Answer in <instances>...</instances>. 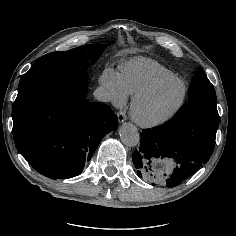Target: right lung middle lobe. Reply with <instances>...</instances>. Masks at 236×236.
Listing matches in <instances>:
<instances>
[{"mask_svg": "<svg viewBox=\"0 0 236 236\" xmlns=\"http://www.w3.org/2000/svg\"><path fill=\"white\" fill-rule=\"evenodd\" d=\"M106 48L103 44H90L69 51L52 52L39 58L19 83L18 94L30 86L71 76L89 67V60L96 61Z\"/></svg>", "mask_w": 236, "mask_h": 236, "instance_id": "1", "label": "right lung middle lobe"}]
</instances>
